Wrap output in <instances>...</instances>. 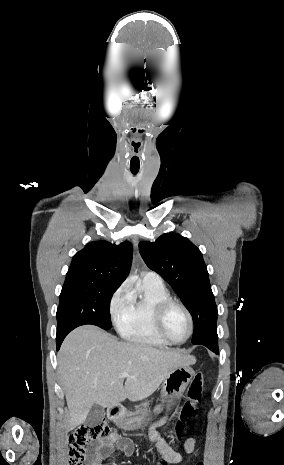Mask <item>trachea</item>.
<instances>
[{"instance_id": "3493384b", "label": "trachea", "mask_w": 284, "mask_h": 465, "mask_svg": "<svg viewBox=\"0 0 284 465\" xmlns=\"http://www.w3.org/2000/svg\"><path fill=\"white\" fill-rule=\"evenodd\" d=\"M139 169H131V172L133 173V175H136L138 173Z\"/></svg>"}]
</instances>
